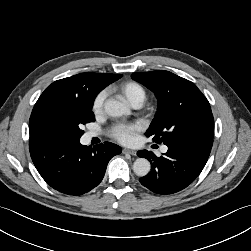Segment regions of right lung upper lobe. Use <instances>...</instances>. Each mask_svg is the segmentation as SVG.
<instances>
[{
  "mask_svg": "<svg viewBox=\"0 0 251 251\" xmlns=\"http://www.w3.org/2000/svg\"><path fill=\"white\" fill-rule=\"evenodd\" d=\"M121 76V74L108 73H81L53 82L41 94L33 108L29 120L30 138H45L40 129L38 120L39 111L43 106L50 102H67L79 99L82 96L83 88L91 78L99 79L105 82L107 84L106 86H108L110 83L121 78Z\"/></svg>",
  "mask_w": 251,
  "mask_h": 251,
  "instance_id": "right-lung-upper-lobe-1",
  "label": "right lung upper lobe"
}]
</instances>
